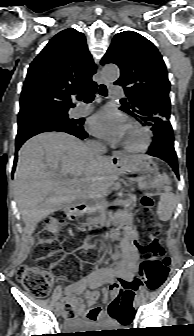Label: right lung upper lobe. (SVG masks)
<instances>
[{"mask_svg": "<svg viewBox=\"0 0 194 336\" xmlns=\"http://www.w3.org/2000/svg\"><path fill=\"white\" fill-rule=\"evenodd\" d=\"M96 65L81 32L69 28L55 35L28 69L20 114L39 109L74 106L71 98L97 85L92 81Z\"/></svg>", "mask_w": 194, "mask_h": 336, "instance_id": "1", "label": "right lung upper lobe"}]
</instances>
